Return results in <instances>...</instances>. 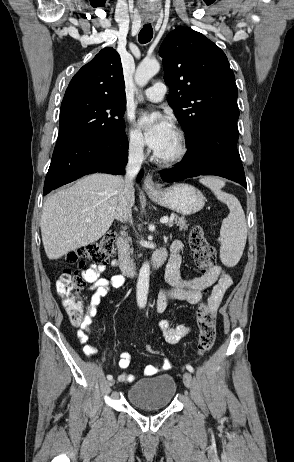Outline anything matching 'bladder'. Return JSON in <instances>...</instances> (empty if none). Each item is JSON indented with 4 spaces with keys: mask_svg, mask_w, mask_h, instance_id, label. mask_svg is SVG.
I'll use <instances>...</instances> for the list:
<instances>
[{
    "mask_svg": "<svg viewBox=\"0 0 294 462\" xmlns=\"http://www.w3.org/2000/svg\"><path fill=\"white\" fill-rule=\"evenodd\" d=\"M177 393V384L170 374L142 379L127 391V400L143 409H161L169 406Z\"/></svg>",
    "mask_w": 294,
    "mask_h": 462,
    "instance_id": "bladder-1",
    "label": "bladder"
}]
</instances>
